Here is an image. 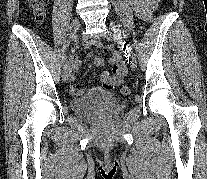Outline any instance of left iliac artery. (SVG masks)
<instances>
[{"label":"left iliac artery","mask_w":207,"mask_h":179,"mask_svg":"<svg viewBox=\"0 0 207 179\" xmlns=\"http://www.w3.org/2000/svg\"><path fill=\"white\" fill-rule=\"evenodd\" d=\"M118 35L120 36V39L123 40V45L125 46V50L129 51V53H132V45L130 44V39L127 35H125V32L123 29H117Z\"/></svg>","instance_id":"44dca946"}]
</instances>
